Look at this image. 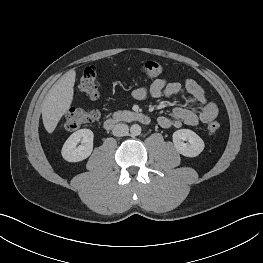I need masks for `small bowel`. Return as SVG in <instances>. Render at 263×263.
<instances>
[{
    "instance_id": "1",
    "label": "small bowel",
    "mask_w": 263,
    "mask_h": 263,
    "mask_svg": "<svg viewBox=\"0 0 263 263\" xmlns=\"http://www.w3.org/2000/svg\"><path fill=\"white\" fill-rule=\"evenodd\" d=\"M180 92L186 93V102L191 107H176L173 109L171 116H159L157 122L162 128H180L183 125L197 126L199 123H209L216 118L218 114L216 104L209 101L201 86L190 78L185 79L183 82L158 78L148 88H136L132 95L136 100H144L147 95L160 98Z\"/></svg>"
}]
</instances>
